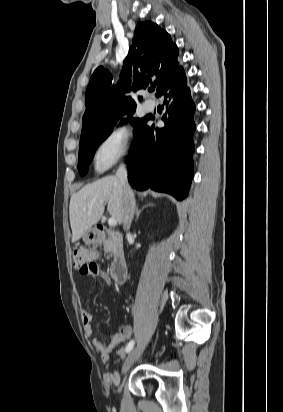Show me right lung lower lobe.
Segmentation results:
<instances>
[{
	"label": "right lung lower lobe",
	"mask_w": 283,
	"mask_h": 412,
	"mask_svg": "<svg viewBox=\"0 0 283 412\" xmlns=\"http://www.w3.org/2000/svg\"><path fill=\"white\" fill-rule=\"evenodd\" d=\"M164 98L166 114L163 128L149 127L147 116L136 133L129 153L128 180L137 190L151 188L183 200L194 174L195 104L187 87V78L167 86L159 95Z\"/></svg>",
	"instance_id": "98d812e1"
}]
</instances>
